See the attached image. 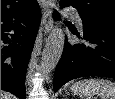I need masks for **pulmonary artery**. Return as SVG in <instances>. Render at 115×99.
Wrapping results in <instances>:
<instances>
[{
  "instance_id": "obj_1",
  "label": "pulmonary artery",
  "mask_w": 115,
  "mask_h": 99,
  "mask_svg": "<svg viewBox=\"0 0 115 99\" xmlns=\"http://www.w3.org/2000/svg\"><path fill=\"white\" fill-rule=\"evenodd\" d=\"M67 12L72 15L73 20H74L78 25H81V24H82V23H81V18L79 17V15H78L76 12L71 11V10H68Z\"/></svg>"
}]
</instances>
